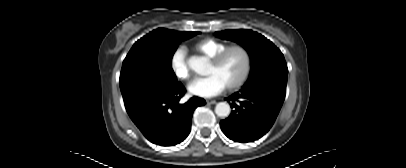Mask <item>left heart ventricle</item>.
Here are the masks:
<instances>
[{"instance_id":"obj_1","label":"left heart ventricle","mask_w":406,"mask_h":168,"mask_svg":"<svg viewBox=\"0 0 406 168\" xmlns=\"http://www.w3.org/2000/svg\"><path fill=\"white\" fill-rule=\"evenodd\" d=\"M244 68V57L239 50H233L227 54L222 63L213 66L209 63L206 75H215L225 87L235 83L241 76Z\"/></svg>"}]
</instances>
